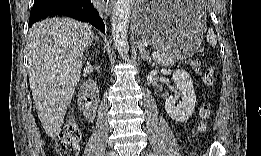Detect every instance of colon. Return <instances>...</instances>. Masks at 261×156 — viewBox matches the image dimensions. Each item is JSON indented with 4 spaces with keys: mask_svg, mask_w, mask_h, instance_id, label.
<instances>
[{
    "mask_svg": "<svg viewBox=\"0 0 261 156\" xmlns=\"http://www.w3.org/2000/svg\"><path fill=\"white\" fill-rule=\"evenodd\" d=\"M191 68L202 76L206 87L213 88L216 83L215 72L212 68L206 67L200 60H193L190 63ZM211 111L209 106L201 108V122L199 124L200 132L207 130V121L210 118ZM81 139V129L77 119L71 115L63 124L59 137L56 142V152L61 156H77L80 151L79 142Z\"/></svg>",
    "mask_w": 261,
    "mask_h": 156,
    "instance_id": "colon-1",
    "label": "colon"
}]
</instances>
